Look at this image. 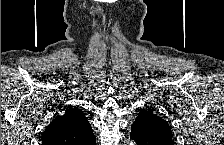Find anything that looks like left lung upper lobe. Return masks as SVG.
<instances>
[{
	"instance_id": "1",
	"label": "left lung upper lobe",
	"mask_w": 224,
	"mask_h": 145,
	"mask_svg": "<svg viewBox=\"0 0 224 145\" xmlns=\"http://www.w3.org/2000/svg\"><path fill=\"white\" fill-rule=\"evenodd\" d=\"M138 116H143L149 120L151 130L157 134L161 139L173 145L172 132L166 120L156 116L152 110H142Z\"/></svg>"
}]
</instances>
